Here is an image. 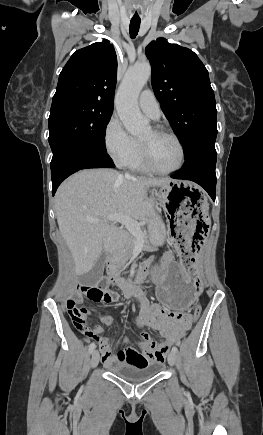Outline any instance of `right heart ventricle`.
Returning a JSON list of instances; mask_svg holds the SVG:
<instances>
[{"label": "right heart ventricle", "instance_id": "1", "mask_svg": "<svg viewBox=\"0 0 263 435\" xmlns=\"http://www.w3.org/2000/svg\"><path fill=\"white\" fill-rule=\"evenodd\" d=\"M127 166L135 172L144 173V172L149 171L144 163L143 154H142V147H141L140 143H139V150H138L137 155Z\"/></svg>", "mask_w": 263, "mask_h": 435}]
</instances>
